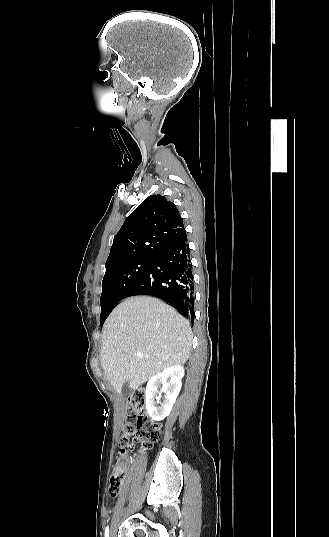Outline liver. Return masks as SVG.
Returning <instances> with one entry per match:
<instances>
[{
    "mask_svg": "<svg viewBox=\"0 0 329 537\" xmlns=\"http://www.w3.org/2000/svg\"><path fill=\"white\" fill-rule=\"evenodd\" d=\"M191 346L190 324L174 308L154 297H130L103 328L101 366L117 393L125 382L136 390L161 370L184 364Z\"/></svg>",
    "mask_w": 329,
    "mask_h": 537,
    "instance_id": "6515ba94",
    "label": "liver"
}]
</instances>
